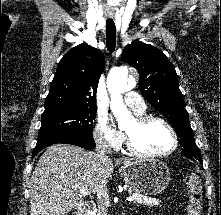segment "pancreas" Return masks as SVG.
<instances>
[{
    "mask_svg": "<svg viewBox=\"0 0 221 215\" xmlns=\"http://www.w3.org/2000/svg\"><path fill=\"white\" fill-rule=\"evenodd\" d=\"M137 196V195H135ZM138 199L134 200V202L136 204L140 205H145V206H158L161 203V200L157 199V198H151V197H146V196H137ZM98 215H103V214H98Z\"/></svg>",
    "mask_w": 221,
    "mask_h": 215,
    "instance_id": "1",
    "label": "pancreas"
}]
</instances>
